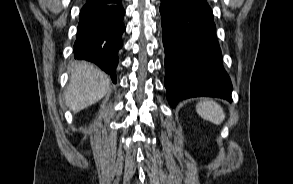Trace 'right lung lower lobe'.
<instances>
[{"instance_id": "1", "label": "right lung lower lobe", "mask_w": 293, "mask_h": 184, "mask_svg": "<svg viewBox=\"0 0 293 184\" xmlns=\"http://www.w3.org/2000/svg\"><path fill=\"white\" fill-rule=\"evenodd\" d=\"M122 0L104 4L86 3L80 11L74 57L97 64L116 83L118 50L125 30Z\"/></svg>"}]
</instances>
